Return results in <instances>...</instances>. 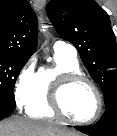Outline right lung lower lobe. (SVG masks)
<instances>
[{"label": "right lung lower lobe", "mask_w": 117, "mask_h": 136, "mask_svg": "<svg viewBox=\"0 0 117 136\" xmlns=\"http://www.w3.org/2000/svg\"><path fill=\"white\" fill-rule=\"evenodd\" d=\"M16 108L15 100L0 96V120L10 115Z\"/></svg>", "instance_id": "right-lung-lower-lobe-1"}]
</instances>
